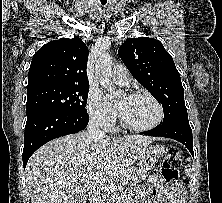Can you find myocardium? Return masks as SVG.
Segmentation results:
<instances>
[{"mask_svg": "<svg viewBox=\"0 0 222 203\" xmlns=\"http://www.w3.org/2000/svg\"><path fill=\"white\" fill-rule=\"evenodd\" d=\"M125 95L128 96V97H141V96L142 97H147L157 107V109H158V117H157V119L153 123H151L149 125L136 126V125H133V124L129 123L124 118L123 114L121 113V111L118 108L119 120H120L121 125L124 128H126L128 130H131V131H135V132H144V131L152 130V129L156 128L157 126H159L162 123V121L164 119V108H163L162 104L158 101V99L155 96H153L151 93L146 92V91H134V92H129V93L125 94Z\"/></svg>", "mask_w": 222, "mask_h": 203, "instance_id": "obj_1", "label": "myocardium"}]
</instances>
